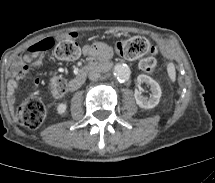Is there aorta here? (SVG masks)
Returning <instances> with one entry per match:
<instances>
[{
	"mask_svg": "<svg viewBox=\"0 0 215 183\" xmlns=\"http://www.w3.org/2000/svg\"><path fill=\"white\" fill-rule=\"evenodd\" d=\"M131 74L130 68L126 64H116L113 67V75L119 81H126Z\"/></svg>",
	"mask_w": 215,
	"mask_h": 183,
	"instance_id": "aorta-1",
	"label": "aorta"
}]
</instances>
